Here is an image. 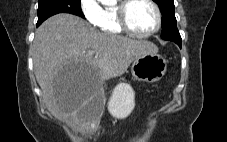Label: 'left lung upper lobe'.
<instances>
[{
    "instance_id": "obj_1",
    "label": "left lung upper lobe",
    "mask_w": 227,
    "mask_h": 142,
    "mask_svg": "<svg viewBox=\"0 0 227 142\" xmlns=\"http://www.w3.org/2000/svg\"><path fill=\"white\" fill-rule=\"evenodd\" d=\"M162 13L161 22L163 30L161 37L164 40L173 41L178 45L182 44V39L177 29V21L174 14V1L173 0H155Z\"/></svg>"
}]
</instances>
